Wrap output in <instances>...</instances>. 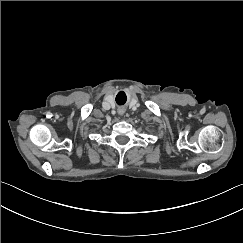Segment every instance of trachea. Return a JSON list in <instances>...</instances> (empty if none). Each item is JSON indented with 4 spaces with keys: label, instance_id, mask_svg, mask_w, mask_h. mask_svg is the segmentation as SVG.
I'll use <instances>...</instances> for the list:
<instances>
[{
    "label": "trachea",
    "instance_id": "3493384b",
    "mask_svg": "<svg viewBox=\"0 0 243 243\" xmlns=\"http://www.w3.org/2000/svg\"><path fill=\"white\" fill-rule=\"evenodd\" d=\"M119 95V94H118ZM116 102L121 105V104H124L126 102V96L121 99V98H118V96L116 97Z\"/></svg>",
    "mask_w": 243,
    "mask_h": 243
}]
</instances>
